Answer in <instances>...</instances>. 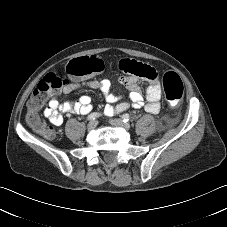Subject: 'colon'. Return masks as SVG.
Segmentation results:
<instances>
[{"label": "colon", "instance_id": "1", "mask_svg": "<svg viewBox=\"0 0 227 227\" xmlns=\"http://www.w3.org/2000/svg\"><path fill=\"white\" fill-rule=\"evenodd\" d=\"M103 69L104 65L102 61L94 55L72 59L63 67L64 73L73 79L88 78L99 74ZM127 70L147 80H152L157 76L154 68L136 60L128 61ZM162 82L166 102L172 107L177 106L184 92L181 78L177 73L169 71L163 75ZM67 83V77L56 73L47 74L36 85L28 100L27 122L36 132L47 139H52L54 133L51 127L41 121L38 113L45 101L54 96L60 89L64 88Z\"/></svg>", "mask_w": 227, "mask_h": 227}]
</instances>
